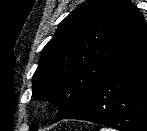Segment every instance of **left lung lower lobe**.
I'll use <instances>...</instances> for the list:
<instances>
[{
	"instance_id": "obj_1",
	"label": "left lung lower lobe",
	"mask_w": 147,
	"mask_h": 131,
	"mask_svg": "<svg viewBox=\"0 0 147 131\" xmlns=\"http://www.w3.org/2000/svg\"><path fill=\"white\" fill-rule=\"evenodd\" d=\"M65 119L147 131V43L113 68L84 105Z\"/></svg>"
}]
</instances>
